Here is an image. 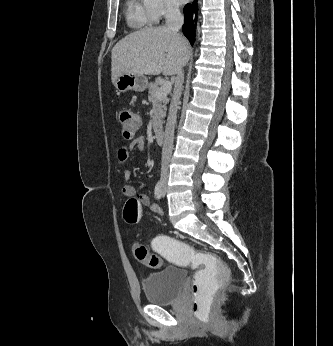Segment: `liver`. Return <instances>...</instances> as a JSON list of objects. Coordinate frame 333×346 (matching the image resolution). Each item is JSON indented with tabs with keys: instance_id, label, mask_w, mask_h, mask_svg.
Listing matches in <instances>:
<instances>
[{
	"instance_id": "1",
	"label": "liver",
	"mask_w": 333,
	"mask_h": 346,
	"mask_svg": "<svg viewBox=\"0 0 333 346\" xmlns=\"http://www.w3.org/2000/svg\"><path fill=\"white\" fill-rule=\"evenodd\" d=\"M191 47L180 34L164 26L127 35L112 49L111 79L121 74L176 75L188 62Z\"/></svg>"
}]
</instances>
